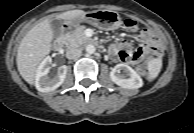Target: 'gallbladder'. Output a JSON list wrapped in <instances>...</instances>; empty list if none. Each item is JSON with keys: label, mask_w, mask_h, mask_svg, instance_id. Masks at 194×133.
I'll use <instances>...</instances> for the list:
<instances>
[{"label": "gallbladder", "mask_w": 194, "mask_h": 133, "mask_svg": "<svg viewBox=\"0 0 194 133\" xmlns=\"http://www.w3.org/2000/svg\"><path fill=\"white\" fill-rule=\"evenodd\" d=\"M51 28L55 36H60L62 34V23L58 19H51Z\"/></svg>", "instance_id": "1"}]
</instances>
